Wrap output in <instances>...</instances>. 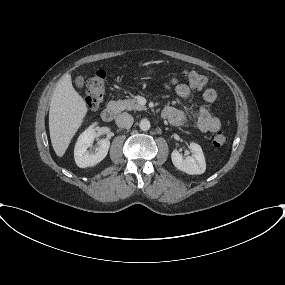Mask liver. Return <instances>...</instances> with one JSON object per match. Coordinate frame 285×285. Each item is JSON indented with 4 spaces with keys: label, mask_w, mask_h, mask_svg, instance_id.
<instances>
[{
    "label": "liver",
    "mask_w": 285,
    "mask_h": 285,
    "mask_svg": "<svg viewBox=\"0 0 285 285\" xmlns=\"http://www.w3.org/2000/svg\"><path fill=\"white\" fill-rule=\"evenodd\" d=\"M88 108L72 86L71 75L64 74L52 94L49 109V131L52 147L62 157L81 126Z\"/></svg>",
    "instance_id": "obj_1"
}]
</instances>
